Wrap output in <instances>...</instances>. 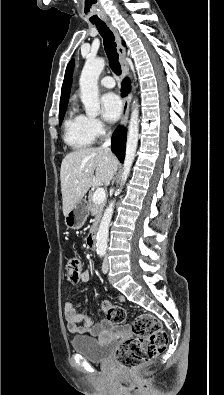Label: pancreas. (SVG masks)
<instances>
[{
    "mask_svg": "<svg viewBox=\"0 0 224 395\" xmlns=\"http://www.w3.org/2000/svg\"><path fill=\"white\" fill-rule=\"evenodd\" d=\"M105 205H106V201H103L102 203L96 205L93 202V193H90L88 195L87 210H88L89 213L92 214V216L95 217L94 224H93V226L91 228V231L94 230L95 227L100 222V219L102 217V212H103V209H104Z\"/></svg>",
    "mask_w": 224,
    "mask_h": 395,
    "instance_id": "obj_1",
    "label": "pancreas"
}]
</instances>
